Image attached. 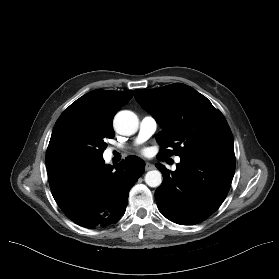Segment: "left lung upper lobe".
Instances as JSON below:
<instances>
[{"label": "left lung upper lobe", "instance_id": "left-lung-upper-lobe-1", "mask_svg": "<svg viewBox=\"0 0 279 279\" xmlns=\"http://www.w3.org/2000/svg\"><path fill=\"white\" fill-rule=\"evenodd\" d=\"M137 102L162 127L156 135L161 146L157 157L174 153L234 156L231 130L223 114L192 87L174 83L151 90L136 89ZM168 147H173V151Z\"/></svg>", "mask_w": 279, "mask_h": 279}]
</instances>
